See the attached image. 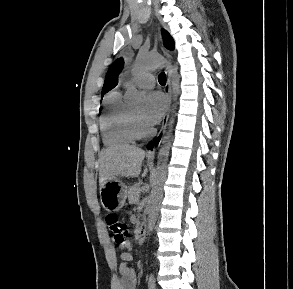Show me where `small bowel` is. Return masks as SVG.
Instances as JSON below:
<instances>
[{"label": "small bowel", "instance_id": "small-bowel-1", "mask_svg": "<svg viewBox=\"0 0 293 289\" xmlns=\"http://www.w3.org/2000/svg\"><path fill=\"white\" fill-rule=\"evenodd\" d=\"M127 246L130 247V243ZM132 258L130 250L120 254L119 276L114 283V289H136L138 278L135 270L129 265Z\"/></svg>", "mask_w": 293, "mask_h": 289}]
</instances>
